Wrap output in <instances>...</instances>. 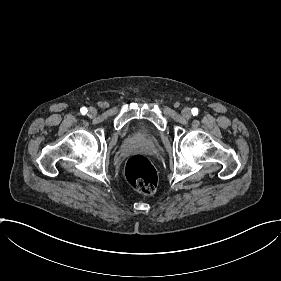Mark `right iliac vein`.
Returning a JSON list of instances; mask_svg holds the SVG:
<instances>
[{
	"mask_svg": "<svg viewBox=\"0 0 281 281\" xmlns=\"http://www.w3.org/2000/svg\"><path fill=\"white\" fill-rule=\"evenodd\" d=\"M88 114H89L90 116H95V115L97 114V109H96L95 107H90V108L88 109Z\"/></svg>",
	"mask_w": 281,
	"mask_h": 281,
	"instance_id": "63e3f726",
	"label": "right iliac vein"
}]
</instances>
